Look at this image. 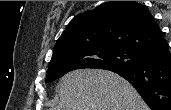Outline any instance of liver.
<instances>
[{
    "mask_svg": "<svg viewBox=\"0 0 171 110\" xmlns=\"http://www.w3.org/2000/svg\"><path fill=\"white\" fill-rule=\"evenodd\" d=\"M59 96L52 110H149L128 81L101 69L67 73L60 79Z\"/></svg>",
    "mask_w": 171,
    "mask_h": 110,
    "instance_id": "1",
    "label": "liver"
}]
</instances>
